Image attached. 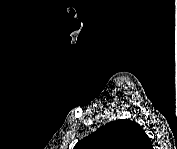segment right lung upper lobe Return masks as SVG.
<instances>
[{
  "instance_id": "1",
  "label": "right lung upper lobe",
  "mask_w": 177,
  "mask_h": 149,
  "mask_svg": "<svg viewBox=\"0 0 177 149\" xmlns=\"http://www.w3.org/2000/svg\"><path fill=\"white\" fill-rule=\"evenodd\" d=\"M147 134L138 123L128 119L112 121L80 140L74 149H147Z\"/></svg>"
}]
</instances>
